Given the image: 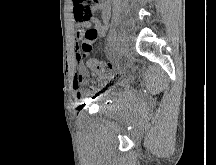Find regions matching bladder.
I'll list each match as a JSON object with an SVG mask.
<instances>
[{"mask_svg":"<svg viewBox=\"0 0 216 165\" xmlns=\"http://www.w3.org/2000/svg\"><path fill=\"white\" fill-rule=\"evenodd\" d=\"M110 93H111V91H110V90H107L104 94H102V95L100 96V100L106 98L108 95H110Z\"/></svg>","mask_w":216,"mask_h":165,"instance_id":"obj_1","label":"bladder"}]
</instances>
